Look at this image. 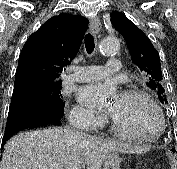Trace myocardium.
<instances>
[{
  "mask_svg": "<svg viewBox=\"0 0 177 169\" xmlns=\"http://www.w3.org/2000/svg\"><path fill=\"white\" fill-rule=\"evenodd\" d=\"M122 95L132 96V97H140V98L145 99L157 112L159 119H160L161 127H160V130L154 135L131 134V133L127 132L123 128V126H121L112 116H110V121H111L112 129L114 130V132H116L117 134H119L123 137H126V138L137 139V140H141V141H145V142H151V141L159 138L165 131L166 122H165V117H164L161 107L152 98V96L150 94H148L145 90L137 88V87L126 88L122 92Z\"/></svg>",
  "mask_w": 177,
  "mask_h": 169,
  "instance_id": "obj_1",
  "label": "myocardium"
}]
</instances>
